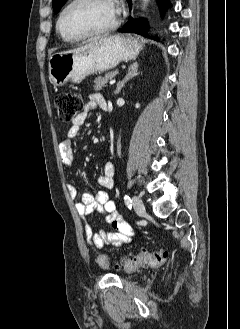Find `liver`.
Segmentation results:
<instances>
[{
    "label": "liver",
    "mask_w": 240,
    "mask_h": 329,
    "mask_svg": "<svg viewBox=\"0 0 240 329\" xmlns=\"http://www.w3.org/2000/svg\"><path fill=\"white\" fill-rule=\"evenodd\" d=\"M102 38L104 37H95V38H91L87 41V43L81 47H78V48H75V49H71V50H68V51H65V52H61V53H78V52H82V51H85L91 47H93L94 45L97 44V42L99 40H101Z\"/></svg>",
    "instance_id": "obj_1"
}]
</instances>
